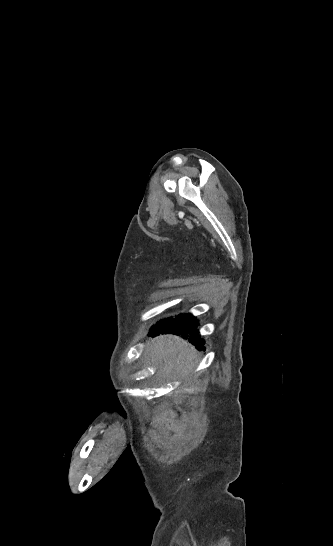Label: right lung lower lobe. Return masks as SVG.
<instances>
[{
    "mask_svg": "<svg viewBox=\"0 0 333 546\" xmlns=\"http://www.w3.org/2000/svg\"><path fill=\"white\" fill-rule=\"evenodd\" d=\"M199 325L198 320L193 317L192 314H179L175 318H167L161 320L155 326L152 327L151 331L153 336L161 334H175L181 335L183 338H188L196 346L198 350H201L205 342L198 334L197 326Z\"/></svg>",
    "mask_w": 333,
    "mask_h": 546,
    "instance_id": "98d812e1",
    "label": "right lung lower lobe"
}]
</instances>
